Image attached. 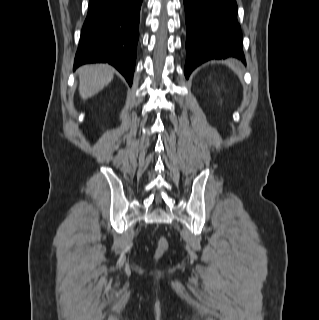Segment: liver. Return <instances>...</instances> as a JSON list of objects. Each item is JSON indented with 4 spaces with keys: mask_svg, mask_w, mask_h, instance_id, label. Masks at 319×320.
<instances>
[{
    "mask_svg": "<svg viewBox=\"0 0 319 320\" xmlns=\"http://www.w3.org/2000/svg\"><path fill=\"white\" fill-rule=\"evenodd\" d=\"M79 93L88 99L101 91L113 79L114 71L106 64L84 65L78 69Z\"/></svg>",
    "mask_w": 319,
    "mask_h": 320,
    "instance_id": "obj_1",
    "label": "liver"
}]
</instances>
